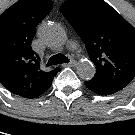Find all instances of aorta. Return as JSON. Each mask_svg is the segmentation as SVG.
<instances>
[{
    "label": "aorta",
    "instance_id": "obj_1",
    "mask_svg": "<svg viewBox=\"0 0 135 135\" xmlns=\"http://www.w3.org/2000/svg\"><path fill=\"white\" fill-rule=\"evenodd\" d=\"M39 36L46 45L52 48H60L67 41L65 29L56 23H48L42 26ZM77 74L82 79H90L95 74V66L89 60L80 61L77 65Z\"/></svg>",
    "mask_w": 135,
    "mask_h": 135
}]
</instances>
